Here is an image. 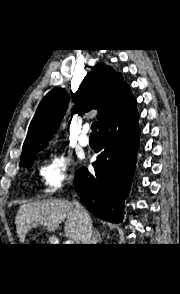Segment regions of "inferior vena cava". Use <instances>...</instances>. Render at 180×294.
<instances>
[{
	"label": "inferior vena cava",
	"mask_w": 180,
	"mask_h": 294,
	"mask_svg": "<svg viewBox=\"0 0 180 294\" xmlns=\"http://www.w3.org/2000/svg\"><path fill=\"white\" fill-rule=\"evenodd\" d=\"M73 205L75 207L76 213L79 219V229L81 234L82 244H91L92 236V221L89 214L83 209L80 203L73 200Z\"/></svg>",
	"instance_id": "602c4592"
}]
</instances>
